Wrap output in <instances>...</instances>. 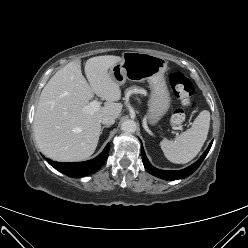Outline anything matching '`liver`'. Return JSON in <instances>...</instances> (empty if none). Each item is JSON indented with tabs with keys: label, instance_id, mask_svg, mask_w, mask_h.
I'll return each mask as SVG.
<instances>
[{
	"label": "liver",
	"instance_id": "obj_1",
	"mask_svg": "<svg viewBox=\"0 0 248 248\" xmlns=\"http://www.w3.org/2000/svg\"><path fill=\"white\" fill-rule=\"evenodd\" d=\"M122 57L105 55L88 59L82 75L79 59L68 63L48 81L41 92L34 116V133L41 152L59 162L81 161L91 156L98 144L101 119L117 118L122 111L120 85L110 68ZM94 93L106 100L99 110L83 108Z\"/></svg>",
	"mask_w": 248,
	"mask_h": 248
}]
</instances>
